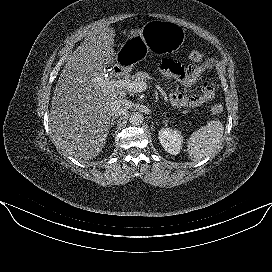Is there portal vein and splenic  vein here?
I'll return each mask as SVG.
<instances>
[{
	"mask_svg": "<svg viewBox=\"0 0 272 272\" xmlns=\"http://www.w3.org/2000/svg\"><path fill=\"white\" fill-rule=\"evenodd\" d=\"M95 81L99 83L100 86L105 87L108 86L110 87H115V88H121L125 89L131 93H138V92H143L147 89V84L146 82H136V81H131V80H108V81H103L101 78H96Z\"/></svg>",
	"mask_w": 272,
	"mask_h": 272,
	"instance_id": "18ae733b",
	"label": "portal vein and splenic vein"
}]
</instances>
